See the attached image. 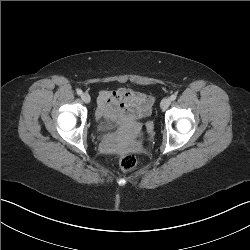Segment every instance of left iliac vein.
Segmentation results:
<instances>
[{"mask_svg": "<svg viewBox=\"0 0 250 250\" xmlns=\"http://www.w3.org/2000/svg\"><path fill=\"white\" fill-rule=\"evenodd\" d=\"M171 104V100L169 98H164L162 101H161V108L163 110L167 109L169 107V105Z\"/></svg>", "mask_w": 250, "mask_h": 250, "instance_id": "4c4485c4", "label": "left iliac vein"}]
</instances>
